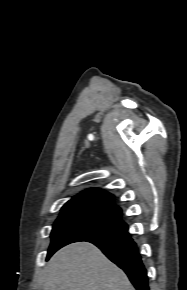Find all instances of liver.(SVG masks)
<instances>
[{
    "mask_svg": "<svg viewBox=\"0 0 187 290\" xmlns=\"http://www.w3.org/2000/svg\"><path fill=\"white\" fill-rule=\"evenodd\" d=\"M43 290H135L126 274L93 244L78 242L48 262Z\"/></svg>",
    "mask_w": 187,
    "mask_h": 290,
    "instance_id": "6515ba94",
    "label": "liver"
}]
</instances>
